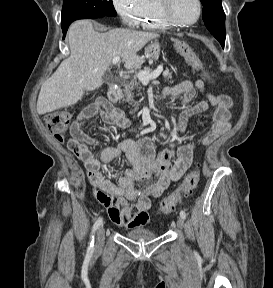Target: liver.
I'll use <instances>...</instances> for the list:
<instances>
[{
	"label": "liver",
	"instance_id": "1",
	"mask_svg": "<svg viewBox=\"0 0 273 288\" xmlns=\"http://www.w3.org/2000/svg\"><path fill=\"white\" fill-rule=\"evenodd\" d=\"M158 33L113 29L105 33L94 30L90 20L74 22L68 31L70 56L41 87L37 112L43 115L76 104L85 91L103 84V75L114 57H121L126 69L144 63L137 55Z\"/></svg>",
	"mask_w": 273,
	"mask_h": 288
}]
</instances>
